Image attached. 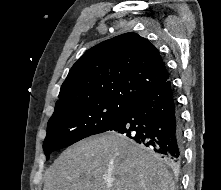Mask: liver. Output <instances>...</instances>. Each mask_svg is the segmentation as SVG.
Listing matches in <instances>:
<instances>
[{
    "label": "liver",
    "instance_id": "6515ba94",
    "mask_svg": "<svg viewBox=\"0 0 221 190\" xmlns=\"http://www.w3.org/2000/svg\"><path fill=\"white\" fill-rule=\"evenodd\" d=\"M44 179L43 190H175L172 176L154 156L117 133L67 148Z\"/></svg>",
    "mask_w": 221,
    "mask_h": 190
}]
</instances>
